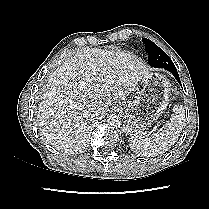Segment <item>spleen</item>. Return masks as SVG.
Here are the masks:
<instances>
[{
  "mask_svg": "<svg viewBox=\"0 0 209 209\" xmlns=\"http://www.w3.org/2000/svg\"><path fill=\"white\" fill-rule=\"evenodd\" d=\"M182 105H174L170 121L151 137L142 131L132 132L128 140L130 148L139 156L154 157L168 151L178 140L185 124Z\"/></svg>",
  "mask_w": 209,
  "mask_h": 209,
  "instance_id": "1",
  "label": "spleen"
}]
</instances>
